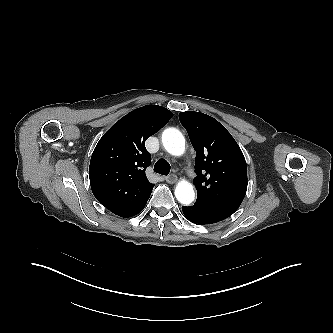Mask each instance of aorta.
I'll list each match as a JSON object with an SVG mask.
<instances>
[{"instance_id":"obj_1","label":"aorta","mask_w":333,"mask_h":333,"mask_svg":"<svg viewBox=\"0 0 333 333\" xmlns=\"http://www.w3.org/2000/svg\"><path fill=\"white\" fill-rule=\"evenodd\" d=\"M162 144L166 151L174 156H181L185 151V138L176 128H167L162 133ZM175 197L183 205L194 201L193 185L186 180L179 181L175 188Z\"/></svg>"}]
</instances>
